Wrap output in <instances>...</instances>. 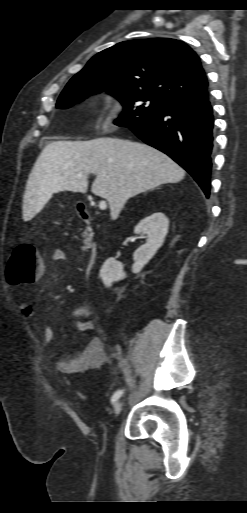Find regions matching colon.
Here are the masks:
<instances>
[{"label": "colon", "mask_w": 247, "mask_h": 513, "mask_svg": "<svg viewBox=\"0 0 247 513\" xmlns=\"http://www.w3.org/2000/svg\"><path fill=\"white\" fill-rule=\"evenodd\" d=\"M43 265L32 244H18L11 252L6 268L9 284L30 285L42 273Z\"/></svg>", "instance_id": "obj_1"}]
</instances>
